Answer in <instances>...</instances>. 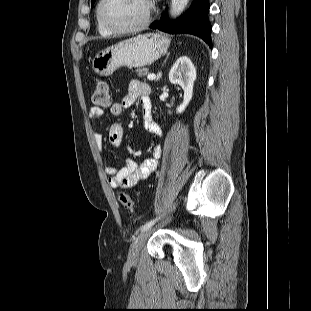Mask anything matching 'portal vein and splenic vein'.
<instances>
[{"label": "portal vein and splenic vein", "mask_w": 311, "mask_h": 311, "mask_svg": "<svg viewBox=\"0 0 311 311\" xmlns=\"http://www.w3.org/2000/svg\"><path fill=\"white\" fill-rule=\"evenodd\" d=\"M147 79H148V80H151V81H152V80H155V79H156V75L153 74V73H152V74H148Z\"/></svg>", "instance_id": "18ae733b"}]
</instances>
